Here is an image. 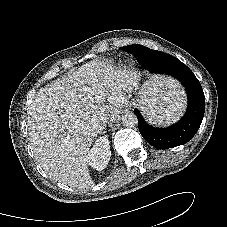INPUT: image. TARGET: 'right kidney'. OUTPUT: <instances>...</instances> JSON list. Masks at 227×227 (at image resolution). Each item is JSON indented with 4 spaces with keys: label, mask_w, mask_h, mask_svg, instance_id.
I'll return each instance as SVG.
<instances>
[{
    "label": "right kidney",
    "mask_w": 227,
    "mask_h": 227,
    "mask_svg": "<svg viewBox=\"0 0 227 227\" xmlns=\"http://www.w3.org/2000/svg\"><path fill=\"white\" fill-rule=\"evenodd\" d=\"M111 151L107 137L98 138L93 148L88 152L87 164L92 168L101 171L106 168L110 160Z\"/></svg>",
    "instance_id": "obj_1"
}]
</instances>
